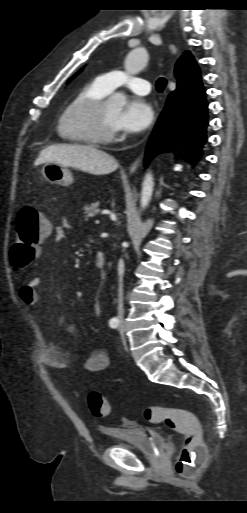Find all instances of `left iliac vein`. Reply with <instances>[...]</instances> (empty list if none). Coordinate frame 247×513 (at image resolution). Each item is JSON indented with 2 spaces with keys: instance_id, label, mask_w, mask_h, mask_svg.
I'll use <instances>...</instances> for the list:
<instances>
[{
  "instance_id": "obj_1",
  "label": "left iliac vein",
  "mask_w": 247,
  "mask_h": 513,
  "mask_svg": "<svg viewBox=\"0 0 247 513\" xmlns=\"http://www.w3.org/2000/svg\"><path fill=\"white\" fill-rule=\"evenodd\" d=\"M119 331H120L122 343L126 347L125 329H124V325L123 324L120 325Z\"/></svg>"
}]
</instances>
